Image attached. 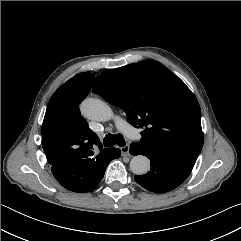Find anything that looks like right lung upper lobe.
Masks as SVG:
<instances>
[{
    "label": "right lung upper lobe",
    "instance_id": "cb5924a9",
    "mask_svg": "<svg viewBox=\"0 0 241 241\" xmlns=\"http://www.w3.org/2000/svg\"><path fill=\"white\" fill-rule=\"evenodd\" d=\"M93 75L80 73L52 95L42 124V147L48 163L95 158L108 153L78 108L91 89ZM95 145L100 152L95 151Z\"/></svg>",
    "mask_w": 241,
    "mask_h": 241
}]
</instances>
